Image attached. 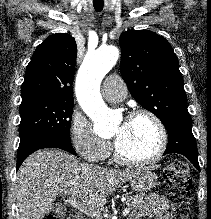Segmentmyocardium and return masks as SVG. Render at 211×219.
<instances>
[{
  "label": "myocardium",
  "mask_w": 211,
  "mask_h": 219,
  "mask_svg": "<svg viewBox=\"0 0 211 219\" xmlns=\"http://www.w3.org/2000/svg\"><path fill=\"white\" fill-rule=\"evenodd\" d=\"M140 117H146L149 118L154 125L156 126L158 133H159V142L156 151L148 158L141 159V160H135L125 157L119 150L116 144L113 146L114 150V157L115 159L123 165L126 166H132V167H141V166H147L150 164H153L157 162L162 155L164 154L167 144H168V134L166 127L162 120L152 111L147 109H138L130 113L127 117V121L135 120Z\"/></svg>",
  "instance_id": "f54148a6"
}]
</instances>
